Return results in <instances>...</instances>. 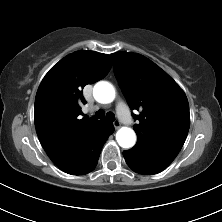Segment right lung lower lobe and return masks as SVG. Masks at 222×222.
Masks as SVG:
<instances>
[{
    "label": "right lung lower lobe",
    "instance_id": "right-lung-lower-lobe-1",
    "mask_svg": "<svg viewBox=\"0 0 222 222\" xmlns=\"http://www.w3.org/2000/svg\"><path fill=\"white\" fill-rule=\"evenodd\" d=\"M113 131L112 123H105L100 129L90 135L87 142L89 151L84 160L79 165L63 167L61 168L62 171L73 175H84L93 171L97 165L101 149Z\"/></svg>",
    "mask_w": 222,
    "mask_h": 222
}]
</instances>
